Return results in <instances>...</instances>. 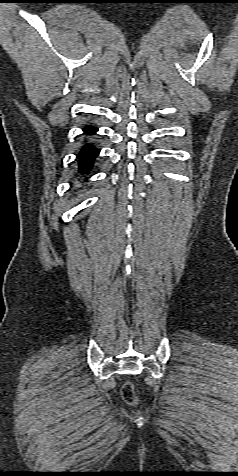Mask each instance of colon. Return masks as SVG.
Segmentation results:
<instances>
[{"instance_id":"5ec220e1","label":"colon","mask_w":238,"mask_h":476,"mask_svg":"<svg viewBox=\"0 0 238 476\" xmlns=\"http://www.w3.org/2000/svg\"><path fill=\"white\" fill-rule=\"evenodd\" d=\"M122 397L128 403H134L136 400L134 388L131 383L127 382L122 387Z\"/></svg>"}]
</instances>
